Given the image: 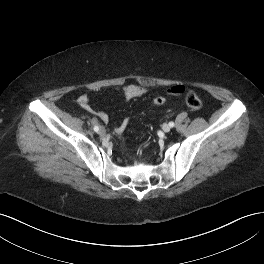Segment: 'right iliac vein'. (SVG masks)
I'll list each match as a JSON object with an SVG mask.
<instances>
[{"label": "right iliac vein", "instance_id": "obj_1", "mask_svg": "<svg viewBox=\"0 0 264 264\" xmlns=\"http://www.w3.org/2000/svg\"><path fill=\"white\" fill-rule=\"evenodd\" d=\"M99 133H101L102 135H105L106 134V131L103 128H101L100 131H99Z\"/></svg>", "mask_w": 264, "mask_h": 264}]
</instances>
